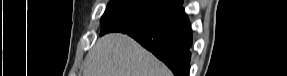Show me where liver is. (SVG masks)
<instances>
[{
    "label": "liver",
    "instance_id": "1",
    "mask_svg": "<svg viewBox=\"0 0 287 76\" xmlns=\"http://www.w3.org/2000/svg\"><path fill=\"white\" fill-rule=\"evenodd\" d=\"M83 76H171V72L131 37L112 33L88 52Z\"/></svg>",
    "mask_w": 287,
    "mask_h": 76
}]
</instances>
